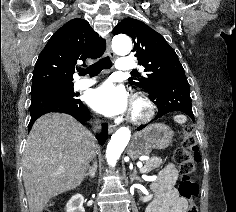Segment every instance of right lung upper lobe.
<instances>
[{
	"label": "right lung upper lobe",
	"mask_w": 236,
	"mask_h": 212,
	"mask_svg": "<svg viewBox=\"0 0 236 212\" xmlns=\"http://www.w3.org/2000/svg\"><path fill=\"white\" fill-rule=\"evenodd\" d=\"M105 49L106 41L99 37L86 20H70L52 35L39 54L31 91L73 85L78 61L99 58Z\"/></svg>",
	"instance_id": "right-lung-upper-lobe-1"
}]
</instances>
